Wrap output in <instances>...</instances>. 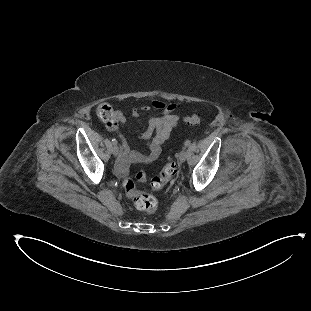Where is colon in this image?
Instances as JSON below:
<instances>
[{
  "instance_id": "colon-1",
  "label": "colon",
  "mask_w": 311,
  "mask_h": 311,
  "mask_svg": "<svg viewBox=\"0 0 311 311\" xmlns=\"http://www.w3.org/2000/svg\"><path fill=\"white\" fill-rule=\"evenodd\" d=\"M96 113L101 119H109L115 115L112 107L107 104L98 105ZM184 122L189 126H200L202 124V115L194 112L184 117ZM177 172V163L173 159H169L160 173L149 181L150 187L153 190L163 189ZM141 179L144 180L145 175L142 174ZM122 188L125 195L133 201L137 209L144 212H154L157 209L158 200L152 195L139 191L136 182L132 178H125L122 182Z\"/></svg>"
}]
</instances>
